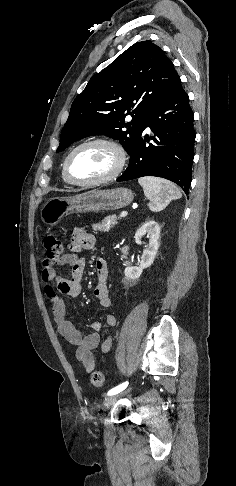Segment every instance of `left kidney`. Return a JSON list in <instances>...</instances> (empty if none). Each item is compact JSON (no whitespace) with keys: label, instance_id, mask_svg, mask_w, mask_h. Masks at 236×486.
Wrapping results in <instances>:
<instances>
[{"label":"left kidney","instance_id":"obj_1","mask_svg":"<svg viewBox=\"0 0 236 486\" xmlns=\"http://www.w3.org/2000/svg\"><path fill=\"white\" fill-rule=\"evenodd\" d=\"M148 238V245L143 250L140 265L138 267H126L124 275L126 280L135 281L139 279L144 269L150 267L155 259L159 248L160 226L154 220L146 221L135 233V241L142 244V238Z\"/></svg>","mask_w":236,"mask_h":486}]
</instances>
